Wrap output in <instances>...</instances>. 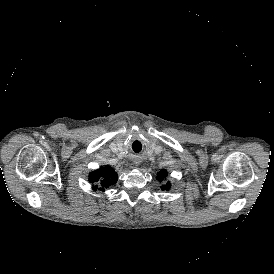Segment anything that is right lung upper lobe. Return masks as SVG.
<instances>
[{"mask_svg":"<svg viewBox=\"0 0 274 274\" xmlns=\"http://www.w3.org/2000/svg\"><path fill=\"white\" fill-rule=\"evenodd\" d=\"M117 179L118 175L111 166L101 167L89 175V181L93 184V190L100 187L99 189L104 191V188L115 184Z\"/></svg>","mask_w":274,"mask_h":274,"instance_id":"cb5924a9","label":"right lung upper lobe"}]
</instances>
